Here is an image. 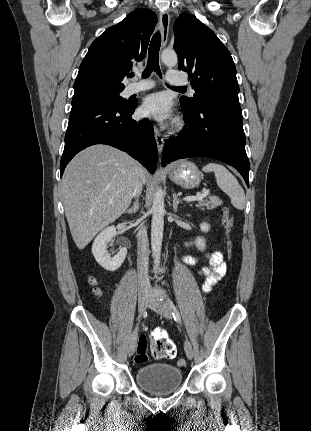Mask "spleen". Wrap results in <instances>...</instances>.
Here are the masks:
<instances>
[{
	"label": "spleen",
	"mask_w": 311,
	"mask_h": 431,
	"mask_svg": "<svg viewBox=\"0 0 311 431\" xmlns=\"http://www.w3.org/2000/svg\"><path fill=\"white\" fill-rule=\"evenodd\" d=\"M202 172H214L218 188L229 196L234 208L244 210L246 204L245 192L229 170H226L221 164H206L202 168Z\"/></svg>",
	"instance_id": "spleen-1"
}]
</instances>
